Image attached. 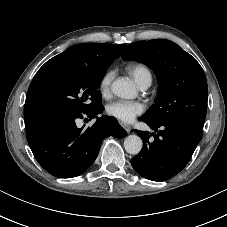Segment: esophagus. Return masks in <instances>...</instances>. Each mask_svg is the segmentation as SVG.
I'll use <instances>...</instances> for the list:
<instances>
[{"label": "esophagus", "mask_w": 227, "mask_h": 227, "mask_svg": "<svg viewBox=\"0 0 227 227\" xmlns=\"http://www.w3.org/2000/svg\"><path fill=\"white\" fill-rule=\"evenodd\" d=\"M120 125L126 130L127 133H130V131H131L130 125L123 123V122H121Z\"/></svg>", "instance_id": "1"}]
</instances>
